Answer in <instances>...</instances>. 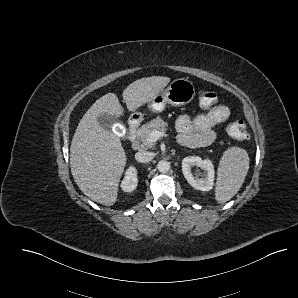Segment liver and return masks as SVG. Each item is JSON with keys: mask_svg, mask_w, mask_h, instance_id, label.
<instances>
[{"mask_svg": "<svg viewBox=\"0 0 298 298\" xmlns=\"http://www.w3.org/2000/svg\"><path fill=\"white\" fill-rule=\"evenodd\" d=\"M170 82L164 76L138 79L123 91L129 110L150 101ZM115 94L108 93L86 111L80 120L70 147V167L80 190L92 200L111 205L116 200L117 186L126 157L121 141L97 122L99 113H119Z\"/></svg>", "mask_w": 298, "mask_h": 298, "instance_id": "6515ba94", "label": "liver"}]
</instances>
